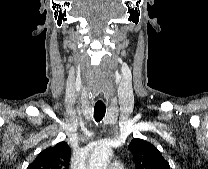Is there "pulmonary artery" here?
I'll use <instances>...</instances> for the list:
<instances>
[{
    "instance_id": "pulmonary-artery-1",
    "label": "pulmonary artery",
    "mask_w": 208,
    "mask_h": 169,
    "mask_svg": "<svg viewBox=\"0 0 208 169\" xmlns=\"http://www.w3.org/2000/svg\"><path fill=\"white\" fill-rule=\"evenodd\" d=\"M109 169H125V166L123 163L115 161L109 165Z\"/></svg>"
}]
</instances>
